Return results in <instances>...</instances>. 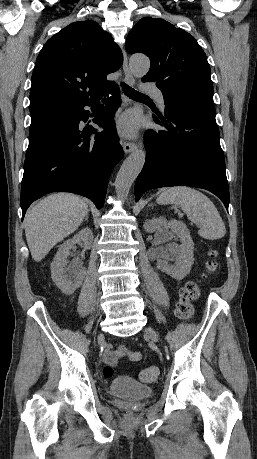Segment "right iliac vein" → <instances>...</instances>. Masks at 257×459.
<instances>
[{
	"label": "right iliac vein",
	"mask_w": 257,
	"mask_h": 459,
	"mask_svg": "<svg viewBox=\"0 0 257 459\" xmlns=\"http://www.w3.org/2000/svg\"><path fill=\"white\" fill-rule=\"evenodd\" d=\"M102 338H103V334L100 333V334L98 335V339H102Z\"/></svg>",
	"instance_id": "obj_1"
}]
</instances>
